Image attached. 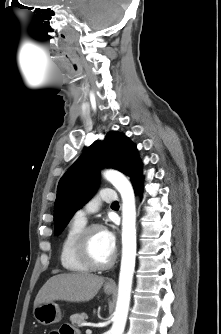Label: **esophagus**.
Segmentation results:
<instances>
[{
	"label": "esophagus",
	"mask_w": 221,
	"mask_h": 334,
	"mask_svg": "<svg viewBox=\"0 0 221 334\" xmlns=\"http://www.w3.org/2000/svg\"><path fill=\"white\" fill-rule=\"evenodd\" d=\"M106 286L107 287H115L116 286V283L114 280H109L106 282Z\"/></svg>",
	"instance_id": "34e87169"
}]
</instances>
